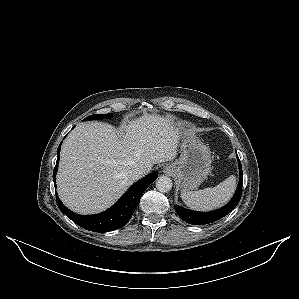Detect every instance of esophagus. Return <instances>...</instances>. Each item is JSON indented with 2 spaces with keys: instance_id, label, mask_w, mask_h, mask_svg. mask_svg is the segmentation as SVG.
<instances>
[{
  "instance_id": "1",
  "label": "esophagus",
  "mask_w": 299,
  "mask_h": 299,
  "mask_svg": "<svg viewBox=\"0 0 299 299\" xmlns=\"http://www.w3.org/2000/svg\"><path fill=\"white\" fill-rule=\"evenodd\" d=\"M163 172H164L165 174H170V173H171V168H170L169 166H166V167H164Z\"/></svg>"
}]
</instances>
